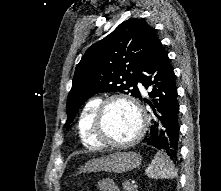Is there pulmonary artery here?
<instances>
[{
    "mask_svg": "<svg viewBox=\"0 0 221 191\" xmlns=\"http://www.w3.org/2000/svg\"><path fill=\"white\" fill-rule=\"evenodd\" d=\"M138 86H139L140 88H142V85H141V84H138Z\"/></svg>",
    "mask_w": 221,
    "mask_h": 191,
    "instance_id": "e3ab8cb5",
    "label": "pulmonary artery"
}]
</instances>
